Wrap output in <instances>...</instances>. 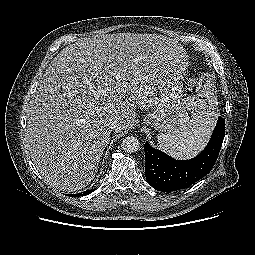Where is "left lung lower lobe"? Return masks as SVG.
Segmentation results:
<instances>
[{
  "label": "left lung lower lobe",
  "mask_w": 255,
  "mask_h": 255,
  "mask_svg": "<svg viewBox=\"0 0 255 255\" xmlns=\"http://www.w3.org/2000/svg\"><path fill=\"white\" fill-rule=\"evenodd\" d=\"M225 136V120L218 118L205 149L190 160H176L145 143V176L156 190L169 192L189 187L212 170Z\"/></svg>",
  "instance_id": "left-lung-lower-lobe-1"
}]
</instances>
